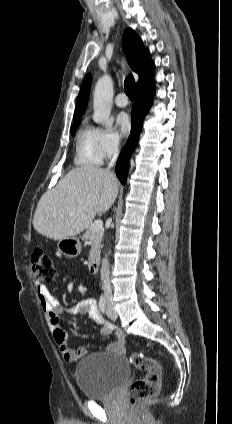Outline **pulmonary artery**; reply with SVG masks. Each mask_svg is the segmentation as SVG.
I'll return each instance as SVG.
<instances>
[{"instance_id": "obj_1", "label": "pulmonary artery", "mask_w": 232, "mask_h": 424, "mask_svg": "<svg viewBox=\"0 0 232 424\" xmlns=\"http://www.w3.org/2000/svg\"><path fill=\"white\" fill-rule=\"evenodd\" d=\"M115 104L118 107L124 108L128 105V99L126 94L124 93H119L116 97H115Z\"/></svg>"}]
</instances>
